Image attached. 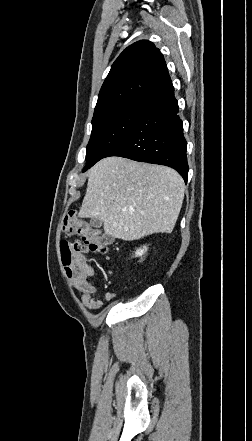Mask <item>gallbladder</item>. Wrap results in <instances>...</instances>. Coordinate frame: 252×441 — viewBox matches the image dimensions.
Here are the masks:
<instances>
[{
  "instance_id": "obj_1",
  "label": "gallbladder",
  "mask_w": 252,
  "mask_h": 441,
  "mask_svg": "<svg viewBox=\"0 0 252 441\" xmlns=\"http://www.w3.org/2000/svg\"><path fill=\"white\" fill-rule=\"evenodd\" d=\"M89 224L94 228H100L102 226V221L100 219H91Z\"/></svg>"
}]
</instances>
